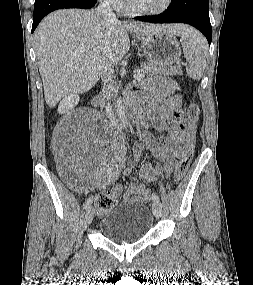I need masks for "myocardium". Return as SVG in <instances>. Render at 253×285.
Here are the masks:
<instances>
[{
    "instance_id": "myocardium-1",
    "label": "myocardium",
    "mask_w": 253,
    "mask_h": 285,
    "mask_svg": "<svg viewBox=\"0 0 253 285\" xmlns=\"http://www.w3.org/2000/svg\"><path fill=\"white\" fill-rule=\"evenodd\" d=\"M173 3V0H166L165 4L156 10H142V9H138L136 8L133 4L131 0H126V4H127V9L130 13L137 15V16H154V15H159L164 13L165 11H167L171 5Z\"/></svg>"
}]
</instances>
